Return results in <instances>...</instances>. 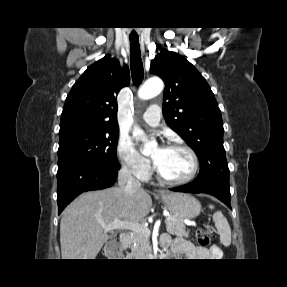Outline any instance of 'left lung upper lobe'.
I'll use <instances>...</instances> for the list:
<instances>
[{
    "label": "left lung upper lobe",
    "instance_id": "5c2ea615",
    "mask_svg": "<svg viewBox=\"0 0 287 287\" xmlns=\"http://www.w3.org/2000/svg\"><path fill=\"white\" fill-rule=\"evenodd\" d=\"M150 71L165 81L166 123L199 158L200 173L193 182L229 184L221 111L205 78L184 57L164 49L152 60Z\"/></svg>",
    "mask_w": 287,
    "mask_h": 287
}]
</instances>
